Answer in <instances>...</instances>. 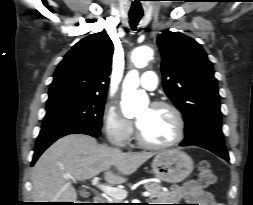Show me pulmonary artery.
<instances>
[{"label": "pulmonary artery", "mask_w": 253, "mask_h": 205, "mask_svg": "<svg viewBox=\"0 0 253 205\" xmlns=\"http://www.w3.org/2000/svg\"><path fill=\"white\" fill-rule=\"evenodd\" d=\"M140 85L146 90H154L158 85V78L155 72L146 71L140 79Z\"/></svg>", "instance_id": "1"}]
</instances>
